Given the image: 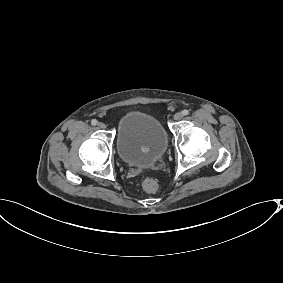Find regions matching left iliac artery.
Here are the masks:
<instances>
[{
	"mask_svg": "<svg viewBox=\"0 0 283 283\" xmlns=\"http://www.w3.org/2000/svg\"><path fill=\"white\" fill-rule=\"evenodd\" d=\"M182 114H183V115H188V114H189V110H187V109L183 110V111H182Z\"/></svg>",
	"mask_w": 283,
	"mask_h": 283,
	"instance_id": "obj_1",
	"label": "left iliac artery"
}]
</instances>
